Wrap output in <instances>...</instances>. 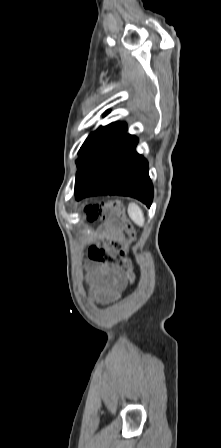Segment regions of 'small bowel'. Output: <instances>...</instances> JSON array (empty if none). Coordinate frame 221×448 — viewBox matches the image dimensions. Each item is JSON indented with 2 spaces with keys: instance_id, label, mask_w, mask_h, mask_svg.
<instances>
[{
  "instance_id": "obj_1",
  "label": "small bowel",
  "mask_w": 221,
  "mask_h": 448,
  "mask_svg": "<svg viewBox=\"0 0 221 448\" xmlns=\"http://www.w3.org/2000/svg\"><path fill=\"white\" fill-rule=\"evenodd\" d=\"M106 235L113 240L124 238L121 230L110 223ZM133 274L123 267L109 264H95L91 267L88 280L96 299L100 302L115 300L131 285Z\"/></svg>"
}]
</instances>
